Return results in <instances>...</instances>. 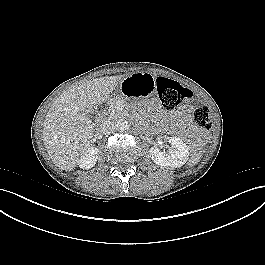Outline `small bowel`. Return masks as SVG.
I'll return each mask as SVG.
<instances>
[{
  "label": "small bowel",
  "mask_w": 265,
  "mask_h": 265,
  "mask_svg": "<svg viewBox=\"0 0 265 265\" xmlns=\"http://www.w3.org/2000/svg\"><path fill=\"white\" fill-rule=\"evenodd\" d=\"M190 110H191V108L189 106H182L175 113V115L178 116V117H186V118H188L189 117Z\"/></svg>",
  "instance_id": "obj_1"
}]
</instances>
